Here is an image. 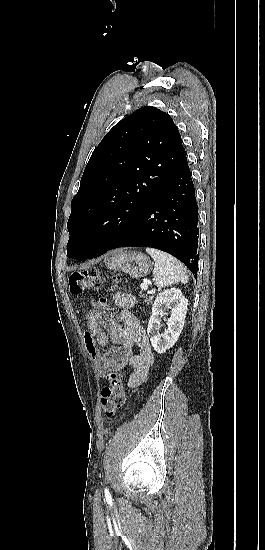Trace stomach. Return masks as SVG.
<instances>
[{
    "instance_id": "obj_1",
    "label": "stomach",
    "mask_w": 265,
    "mask_h": 550,
    "mask_svg": "<svg viewBox=\"0 0 265 550\" xmlns=\"http://www.w3.org/2000/svg\"><path fill=\"white\" fill-rule=\"evenodd\" d=\"M105 265L110 270L122 271L135 279L151 271L150 259L138 251L117 250L105 260Z\"/></svg>"
}]
</instances>
